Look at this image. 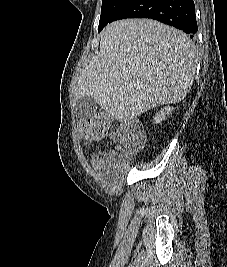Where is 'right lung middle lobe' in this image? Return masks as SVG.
Wrapping results in <instances>:
<instances>
[{
  "instance_id": "obj_1",
  "label": "right lung middle lobe",
  "mask_w": 227,
  "mask_h": 267,
  "mask_svg": "<svg viewBox=\"0 0 227 267\" xmlns=\"http://www.w3.org/2000/svg\"><path fill=\"white\" fill-rule=\"evenodd\" d=\"M127 0H102L101 16L99 21L100 32L116 15Z\"/></svg>"
}]
</instances>
